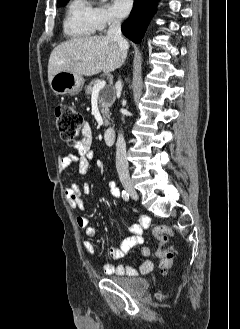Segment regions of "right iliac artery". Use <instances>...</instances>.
Here are the masks:
<instances>
[{"label":"right iliac artery","instance_id":"right-iliac-artery-1","mask_svg":"<svg viewBox=\"0 0 240 329\" xmlns=\"http://www.w3.org/2000/svg\"><path fill=\"white\" fill-rule=\"evenodd\" d=\"M122 198L125 201H128L129 200V194L125 190L122 191Z\"/></svg>","mask_w":240,"mask_h":329}]
</instances>
